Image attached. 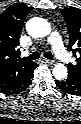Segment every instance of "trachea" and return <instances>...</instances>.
Instances as JSON below:
<instances>
[{"mask_svg": "<svg viewBox=\"0 0 81 124\" xmlns=\"http://www.w3.org/2000/svg\"><path fill=\"white\" fill-rule=\"evenodd\" d=\"M44 57L47 59H53V55L51 54V52H45ZM38 58H40V53L33 52L31 55H29L28 57H25L23 59L28 60V61H33V60H37Z\"/></svg>", "mask_w": 81, "mask_h": 124, "instance_id": "trachea-1", "label": "trachea"}]
</instances>
